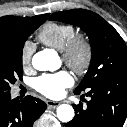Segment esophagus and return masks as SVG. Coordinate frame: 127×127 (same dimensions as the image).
<instances>
[{"mask_svg": "<svg viewBox=\"0 0 127 127\" xmlns=\"http://www.w3.org/2000/svg\"><path fill=\"white\" fill-rule=\"evenodd\" d=\"M46 104H47L48 109H55V108H57V106L60 103L59 102H55V101H51V100H47Z\"/></svg>", "mask_w": 127, "mask_h": 127, "instance_id": "esophagus-1", "label": "esophagus"}]
</instances>
